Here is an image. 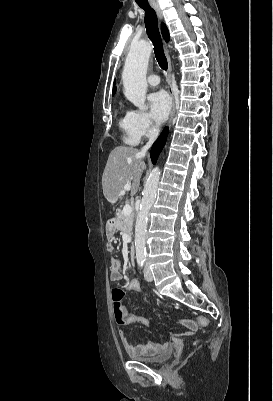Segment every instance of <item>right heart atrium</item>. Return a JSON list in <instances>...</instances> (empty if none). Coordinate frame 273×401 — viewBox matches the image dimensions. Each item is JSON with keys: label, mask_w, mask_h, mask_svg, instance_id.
Masks as SVG:
<instances>
[{"label": "right heart atrium", "mask_w": 273, "mask_h": 401, "mask_svg": "<svg viewBox=\"0 0 273 401\" xmlns=\"http://www.w3.org/2000/svg\"><path fill=\"white\" fill-rule=\"evenodd\" d=\"M128 116L131 132L139 139L152 138L157 134L158 125L144 111L131 109L128 111Z\"/></svg>", "instance_id": "d8ad5b80"}]
</instances>
